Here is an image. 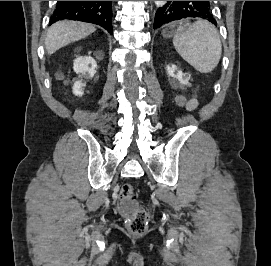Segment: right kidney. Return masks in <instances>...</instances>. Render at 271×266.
<instances>
[{
    "instance_id": "ca27d5eb",
    "label": "right kidney",
    "mask_w": 271,
    "mask_h": 266,
    "mask_svg": "<svg viewBox=\"0 0 271 266\" xmlns=\"http://www.w3.org/2000/svg\"><path fill=\"white\" fill-rule=\"evenodd\" d=\"M74 71L77 74L86 75L88 74L89 77H93L96 73L97 62L90 56L85 57H78L74 61ZM90 65V66H89ZM86 86V82H82V80H78L73 85V93L76 96L83 95V89Z\"/></svg>"
}]
</instances>
